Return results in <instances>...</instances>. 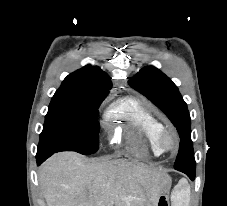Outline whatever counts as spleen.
Instances as JSON below:
<instances>
[{"label":"spleen","instance_id":"spleen-1","mask_svg":"<svg viewBox=\"0 0 227 206\" xmlns=\"http://www.w3.org/2000/svg\"><path fill=\"white\" fill-rule=\"evenodd\" d=\"M189 197H190L189 187L176 188L171 196L173 206H188Z\"/></svg>","mask_w":227,"mask_h":206}]
</instances>
